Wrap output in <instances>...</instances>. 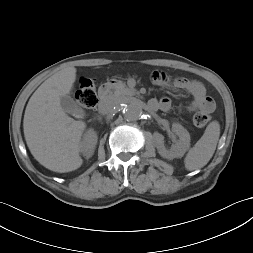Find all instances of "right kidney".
Returning a JSON list of instances; mask_svg holds the SVG:
<instances>
[{"mask_svg":"<svg viewBox=\"0 0 253 253\" xmlns=\"http://www.w3.org/2000/svg\"><path fill=\"white\" fill-rule=\"evenodd\" d=\"M97 140V133L93 129H89L84 134L83 140L81 141L80 151L86 158H90L93 155Z\"/></svg>","mask_w":253,"mask_h":253,"instance_id":"ca27d5eb","label":"right kidney"}]
</instances>
